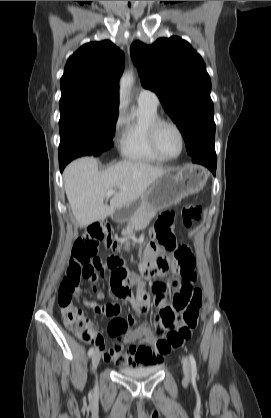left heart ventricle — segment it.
<instances>
[{
  "label": "left heart ventricle",
  "mask_w": 271,
  "mask_h": 418,
  "mask_svg": "<svg viewBox=\"0 0 271 418\" xmlns=\"http://www.w3.org/2000/svg\"><path fill=\"white\" fill-rule=\"evenodd\" d=\"M158 142L162 151L168 156H175L180 150L179 136L170 126H164L160 129Z\"/></svg>",
  "instance_id": "b2bd125f"
}]
</instances>
